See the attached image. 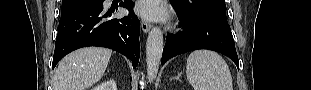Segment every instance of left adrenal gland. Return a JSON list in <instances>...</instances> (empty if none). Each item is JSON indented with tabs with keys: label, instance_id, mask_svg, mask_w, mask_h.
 <instances>
[{
	"label": "left adrenal gland",
	"instance_id": "1",
	"mask_svg": "<svg viewBox=\"0 0 311 90\" xmlns=\"http://www.w3.org/2000/svg\"><path fill=\"white\" fill-rule=\"evenodd\" d=\"M180 76H181V73H179L177 76H175L174 78H172V80H180Z\"/></svg>",
	"mask_w": 311,
	"mask_h": 90
}]
</instances>
